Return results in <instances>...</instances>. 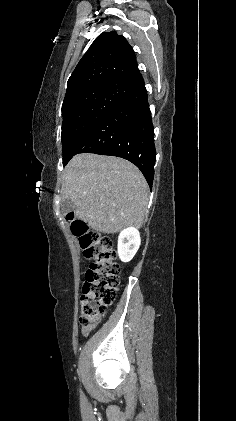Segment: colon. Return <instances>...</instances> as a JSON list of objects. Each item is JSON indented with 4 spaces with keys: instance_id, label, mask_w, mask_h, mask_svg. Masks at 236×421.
Masks as SVG:
<instances>
[{
    "instance_id": "5ec220e1",
    "label": "colon",
    "mask_w": 236,
    "mask_h": 421,
    "mask_svg": "<svg viewBox=\"0 0 236 421\" xmlns=\"http://www.w3.org/2000/svg\"><path fill=\"white\" fill-rule=\"evenodd\" d=\"M71 229L79 239L86 259L90 262L82 287L80 324L91 329L105 316L114 302L119 285V265L112 240L90 230L86 223L69 215Z\"/></svg>"
}]
</instances>
